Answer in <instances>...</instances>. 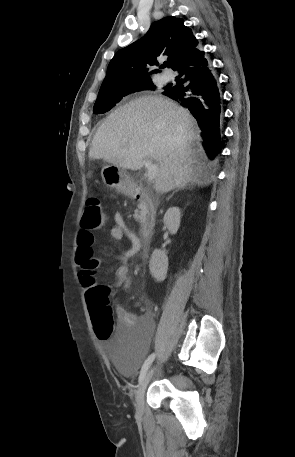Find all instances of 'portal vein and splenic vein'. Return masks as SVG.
Instances as JSON below:
<instances>
[{
  "instance_id": "obj_1",
  "label": "portal vein and splenic vein",
  "mask_w": 295,
  "mask_h": 457,
  "mask_svg": "<svg viewBox=\"0 0 295 457\" xmlns=\"http://www.w3.org/2000/svg\"><path fill=\"white\" fill-rule=\"evenodd\" d=\"M143 165L147 169L146 176L149 182H152L158 174L159 165L153 163L151 160H144Z\"/></svg>"
}]
</instances>
